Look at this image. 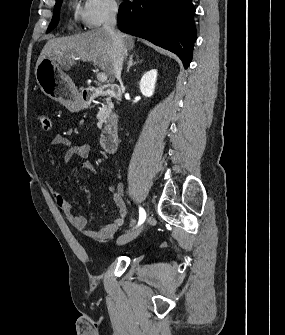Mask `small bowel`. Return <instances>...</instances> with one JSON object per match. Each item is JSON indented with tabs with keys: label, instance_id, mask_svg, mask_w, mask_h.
<instances>
[{
	"label": "small bowel",
	"instance_id": "obj_1",
	"mask_svg": "<svg viewBox=\"0 0 285 335\" xmlns=\"http://www.w3.org/2000/svg\"><path fill=\"white\" fill-rule=\"evenodd\" d=\"M50 144L54 147H66L63 154L64 162L68 163L75 157L83 159L84 161L81 165L82 168L87 172L94 174L93 165L88 160L90 154L89 146L82 143H72L68 137L62 134H55L53 137H51ZM54 159L55 156L53 153H51L49 156V161L53 163ZM48 188L57 206L64 214V216L68 219L72 226L76 230L82 232L84 237L88 240L96 241L110 239L124 224L125 218L127 216V206L123 197L119 193L115 192L113 187H110V191L113 194V200L119 211V216L111 221H108L102 227L92 231L86 230V218L75 213L63 192L54 190L51 185H48Z\"/></svg>",
	"mask_w": 285,
	"mask_h": 335
}]
</instances>
